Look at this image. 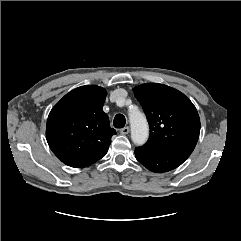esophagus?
I'll return each instance as SVG.
<instances>
[{"label":"esophagus","instance_id":"esophagus-1","mask_svg":"<svg viewBox=\"0 0 241 241\" xmlns=\"http://www.w3.org/2000/svg\"><path fill=\"white\" fill-rule=\"evenodd\" d=\"M130 132V128L128 126L120 129V133L123 135H127Z\"/></svg>","mask_w":241,"mask_h":241}]
</instances>
